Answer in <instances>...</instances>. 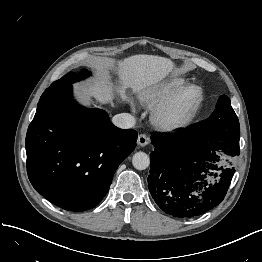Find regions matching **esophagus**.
I'll use <instances>...</instances> for the list:
<instances>
[{
  "label": "esophagus",
  "mask_w": 262,
  "mask_h": 262,
  "mask_svg": "<svg viewBox=\"0 0 262 262\" xmlns=\"http://www.w3.org/2000/svg\"><path fill=\"white\" fill-rule=\"evenodd\" d=\"M149 143V137H147L145 134H140L137 139V144L139 146H146Z\"/></svg>",
  "instance_id": "1"
}]
</instances>
